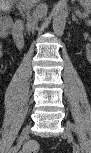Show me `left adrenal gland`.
<instances>
[{
  "label": "left adrenal gland",
  "mask_w": 91,
  "mask_h": 153,
  "mask_svg": "<svg viewBox=\"0 0 91 153\" xmlns=\"http://www.w3.org/2000/svg\"><path fill=\"white\" fill-rule=\"evenodd\" d=\"M72 20H73V21H76V23H78V19L75 17L74 14L72 15Z\"/></svg>",
  "instance_id": "a2214340"
}]
</instances>
